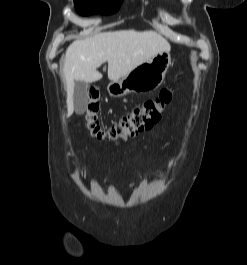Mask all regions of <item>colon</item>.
Masks as SVG:
<instances>
[{"label":"colon","instance_id":"obj_1","mask_svg":"<svg viewBox=\"0 0 247 265\" xmlns=\"http://www.w3.org/2000/svg\"><path fill=\"white\" fill-rule=\"evenodd\" d=\"M172 98V89L163 88L157 96L133 107L115 125L104 128L99 120L100 93L96 89H91L88 92L87 108L84 114L85 126L91 136L98 140L110 142L127 140L150 129L153 124L158 122Z\"/></svg>","mask_w":247,"mask_h":265}]
</instances>
